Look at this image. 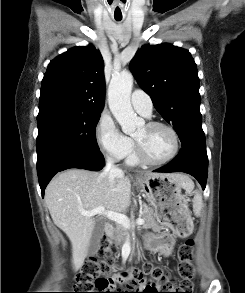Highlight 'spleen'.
Segmentation results:
<instances>
[{"label": "spleen", "mask_w": 245, "mask_h": 293, "mask_svg": "<svg viewBox=\"0 0 245 293\" xmlns=\"http://www.w3.org/2000/svg\"><path fill=\"white\" fill-rule=\"evenodd\" d=\"M202 207H203L202 195L199 191H197L193 198V211L196 216H200Z\"/></svg>", "instance_id": "obj_1"}]
</instances>
